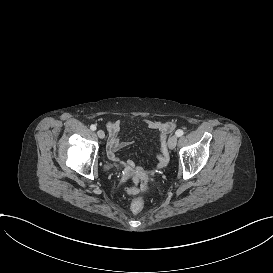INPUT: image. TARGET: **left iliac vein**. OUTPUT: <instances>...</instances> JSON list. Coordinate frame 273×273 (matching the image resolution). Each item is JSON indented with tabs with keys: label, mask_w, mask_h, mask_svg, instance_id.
<instances>
[{
	"label": "left iliac vein",
	"mask_w": 273,
	"mask_h": 273,
	"mask_svg": "<svg viewBox=\"0 0 273 273\" xmlns=\"http://www.w3.org/2000/svg\"><path fill=\"white\" fill-rule=\"evenodd\" d=\"M178 141V137L176 135H172L168 140L169 149H174L176 147Z\"/></svg>",
	"instance_id": "obj_1"
}]
</instances>
